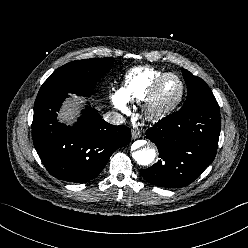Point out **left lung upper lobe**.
<instances>
[{
    "label": "left lung upper lobe",
    "mask_w": 248,
    "mask_h": 248,
    "mask_svg": "<svg viewBox=\"0 0 248 248\" xmlns=\"http://www.w3.org/2000/svg\"><path fill=\"white\" fill-rule=\"evenodd\" d=\"M182 73L188 88L187 99L183 107H190L203 101L215 99L212 91L201 78L194 76L185 69H182Z\"/></svg>",
    "instance_id": "5c2ea615"
}]
</instances>
